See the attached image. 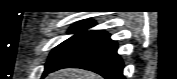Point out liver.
<instances>
[{"label":"liver","instance_id":"1","mask_svg":"<svg viewBox=\"0 0 177 79\" xmlns=\"http://www.w3.org/2000/svg\"><path fill=\"white\" fill-rule=\"evenodd\" d=\"M47 79H100V76L82 69L66 68L48 75Z\"/></svg>","mask_w":177,"mask_h":79}]
</instances>
